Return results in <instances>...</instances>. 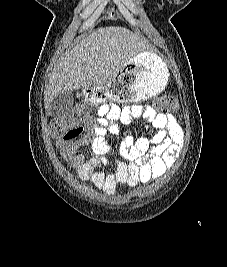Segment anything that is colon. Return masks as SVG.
Returning a JSON list of instances; mask_svg holds the SVG:
<instances>
[{"label": "colon", "mask_w": 227, "mask_h": 267, "mask_svg": "<svg viewBox=\"0 0 227 267\" xmlns=\"http://www.w3.org/2000/svg\"><path fill=\"white\" fill-rule=\"evenodd\" d=\"M155 106L158 108V112H162V108L175 111L178 109V102L172 96L160 97L156 99ZM87 115L88 112L84 105H75L61 116L51 119L48 125V132L51 137L60 138L68 129L83 124ZM90 118H93V115H90Z\"/></svg>", "instance_id": "obj_1"}]
</instances>
